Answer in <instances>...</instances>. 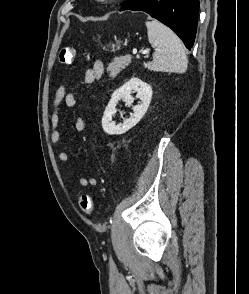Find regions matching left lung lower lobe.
I'll use <instances>...</instances> for the list:
<instances>
[{"mask_svg":"<svg viewBox=\"0 0 249 294\" xmlns=\"http://www.w3.org/2000/svg\"><path fill=\"white\" fill-rule=\"evenodd\" d=\"M141 10L170 27L190 49L193 46L199 0H128L120 11Z\"/></svg>","mask_w":249,"mask_h":294,"instance_id":"1","label":"left lung lower lobe"}]
</instances>
